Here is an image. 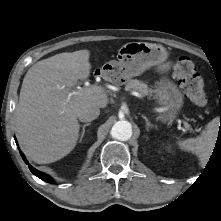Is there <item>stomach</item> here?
Listing matches in <instances>:
<instances>
[{
  "label": "stomach",
  "mask_w": 221,
  "mask_h": 221,
  "mask_svg": "<svg viewBox=\"0 0 221 221\" xmlns=\"http://www.w3.org/2000/svg\"><path fill=\"white\" fill-rule=\"evenodd\" d=\"M167 59L168 52L162 45L130 42L119 49L117 60L104 65V72L112 82L124 84L152 67L161 74L167 73L171 68V62H167ZM153 92L157 104L163 109L160 119L172 122L184 103L183 94L177 85L165 76L156 82Z\"/></svg>",
  "instance_id": "stomach-1"
}]
</instances>
